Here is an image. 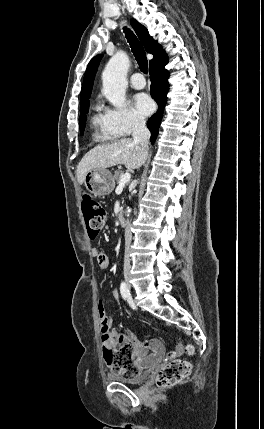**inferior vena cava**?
I'll return each mask as SVG.
<instances>
[{
	"label": "inferior vena cava",
	"instance_id": "1",
	"mask_svg": "<svg viewBox=\"0 0 264 429\" xmlns=\"http://www.w3.org/2000/svg\"><path fill=\"white\" fill-rule=\"evenodd\" d=\"M133 141L135 143H139L143 150H148V143L150 138V131L146 127L145 119L142 117H136L133 121ZM134 218L132 216H129L127 219V223L125 224L126 229L125 235H126V241L124 244L125 251V257H124V270L128 271L130 269V246L131 245V228L133 226L132 221Z\"/></svg>",
	"mask_w": 264,
	"mask_h": 429
}]
</instances>
